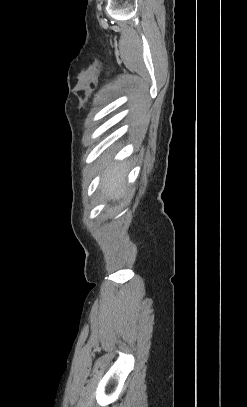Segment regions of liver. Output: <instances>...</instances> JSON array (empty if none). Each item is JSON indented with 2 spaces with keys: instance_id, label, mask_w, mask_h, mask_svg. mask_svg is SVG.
<instances>
[{
  "instance_id": "obj_1",
  "label": "liver",
  "mask_w": 247,
  "mask_h": 407,
  "mask_svg": "<svg viewBox=\"0 0 247 407\" xmlns=\"http://www.w3.org/2000/svg\"><path fill=\"white\" fill-rule=\"evenodd\" d=\"M127 171L124 163L115 165L107 170L101 182V188L108 199H119L125 194L124 181Z\"/></svg>"
}]
</instances>
